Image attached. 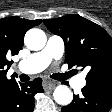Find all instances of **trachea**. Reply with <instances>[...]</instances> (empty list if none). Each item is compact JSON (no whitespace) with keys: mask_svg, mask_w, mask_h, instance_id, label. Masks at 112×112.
<instances>
[{"mask_svg":"<svg viewBox=\"0 0 112 112\" xmlns=\"http://www.w3.org/2000/svg\"><path fill=\"white\" fill-rule=\"evenodd\" d=\"M67 77H68V74L59 75V78L60 79H66ZM20 79L22 81H27L28 80V77L23 74V75L20 76Z\"/></svg>","mask_w":112,"mask_h":112,"instance_id":"3493384b","label":"trachea"}]
</instances>
